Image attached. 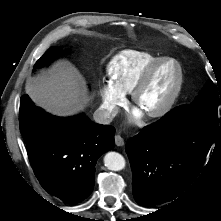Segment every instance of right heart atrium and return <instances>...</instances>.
Masks as SVG:
<instances>
[{"label":"right heart atrium","instance_id":"obj_1","mask_svg":"<svg viewBox=\"0 0 221 221\" xmlns=\"http://www.w3.org/2000/svg\"><path fill=\"white\" fill-rule=\"evenodd\" d=\"M99 93L103 111L109 116H114L126 101L125 94L119 91L111 82H103Z\"/></svg>","mask_w":221,"mask_h":221}]
</instances>
